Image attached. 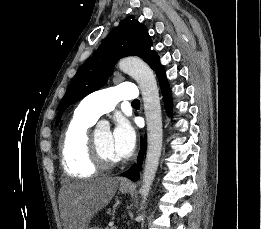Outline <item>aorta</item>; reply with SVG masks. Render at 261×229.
Segmentation results:
<instances>
[{
  "label": "aorta",
  "instance_id": "obj_1",
  "mask_svg": "<svg viewBox=\"0 0 261 229\" xmlns=\"http://www.w3.org/2000/svg\"><path fill=\"white\" fill-rule=\"evenodd\" d=\"M118 68L130 74L138 82L144 102V110L147 125V155L144 165L142 187L139 189L143 195V203L147 201L152 183L155 179L156 171L163 145V125L160 104L159 90L155 74L141 58L136 56H126L118 62ZM103 135H110V125L108 121H99L96 129L95 139H100ZM138 221H143V217H137Z\"/></svg>",
  "mask_w": 261,
  "mask_h": 229
}]
</instances>
